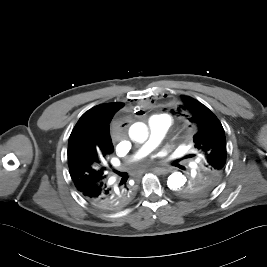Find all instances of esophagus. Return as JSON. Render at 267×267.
<instances>
[{
  "mask_svg": "<svg viewBox=\"0 0 267 267\" xmlns=\"http://www.w3.org/2000/svg\"><path fill=\"white\" fill-rule=\"evenodd\" d=\"M152 170L157 174H167L170 172V169L165 167H154Z\"/></svg>",
  "mask_w": 267,
  "mask_h": 267,
  "instance_id": "34e87169",
  "label": "esophagus"
}]
</instances>
